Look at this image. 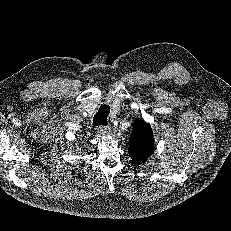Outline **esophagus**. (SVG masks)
Listing matches in <instances>:
<instances>
[{
    "label": "esophagus",
    "mask_w": 231,
    "mask_h": 231,
    "mask_svg": "<svg viewBox=\"0 0 231 231\" xmlns=\"http://www.w3.org/2000/svg\"><path fill=\"white\" fill-rule=\"evenodd\" d=\"M96 132L98 135L107 134L109 132V126H100L97 128Z\"/></svg>",
    "instance_id": "obj_1"
}]
</instances>
